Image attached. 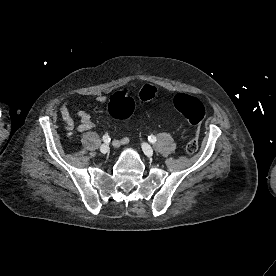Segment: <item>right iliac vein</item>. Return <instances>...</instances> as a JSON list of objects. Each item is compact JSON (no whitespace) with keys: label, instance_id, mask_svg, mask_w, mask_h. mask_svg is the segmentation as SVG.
<instances>
[{"label":"right iliac vein","instance_id":"1","mask_svg":"<svg viewBox=\"0 0 276 276\" xmlns=\"http://www.w3.org/2000/svg\"><path fill=\"white\" fill-rule=\"evenodd\" d=\"M108 150H109L108 145L102 144V145L100 146V151H101V153L105 154V153L108 152Z\"/></svg>","mask_w":276,"mask_h":276}]
</instances>
